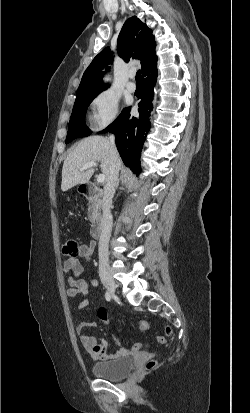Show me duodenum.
<instances>
[{"mask_svg": "<svg viewBox=\"0 0 250 413\" xmlns=\"http://www.w3.org/2000/svg\"><path fill=\"white\" fill-rule=\"evenodd\" d=\"M82 194L86 198L101 196V191L93 184L88 183L82 186ZM91 236L95 239L99 238L103 232V223L100 217H95L90 228Z\"/></svg>", "mask_w": 250, "mask_h": 413, "instance_id": "1", "label": "duodenum"}]
</instances>
